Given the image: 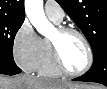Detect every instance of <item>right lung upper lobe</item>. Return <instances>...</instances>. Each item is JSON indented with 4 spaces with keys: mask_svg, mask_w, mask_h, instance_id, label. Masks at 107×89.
Here are the masks:
<instances>
[{
    "mask_svg": "<svg viewBox=\"0 0 107 89\" xmlns=\"http://www.w3.org/2000/svg\"><path fill=\"white\" fill-rule=\"evenodd\" d=\"M0 17L24 20V0H0Z\"/></svg>",
    "mask_w": 107,
    "mask_h": 89,
    "instance_id": "1",
    "label": "right lung upper lobe"
}]
</instances>
